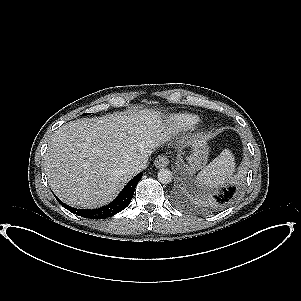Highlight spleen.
<instances>
[{
  "mask_svg": "<svg viewBox=\"0 0 301 301\" xmlns=\"http://www.w3.org/2000/svg\"><path fill=\"white\" fill-rule=\"evenodd\" d=\"M235 171V158L230 150L224 149L210 164L197 175L196 182L201 186L215 188L232 179Z\"/></svg>",
  "mask_w": 301,
  "mask_h": 301,
  "instance_id": "obj_1",
  "label": "spleen"
}]
</instances>
